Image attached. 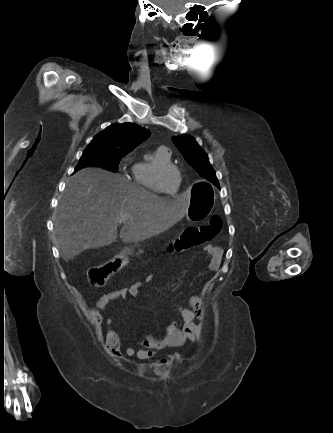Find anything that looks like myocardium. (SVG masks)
I'll return each mask as SVG.
<instances>
[{
	"label": "myocardium",
	"instance_id": "f54148a6",
	"mask_svg": "<svg viewBox=\"0 0 333 433\" xmlns=\"http://www.w3.org/2000/svg\"><path fill=\"white\" fill-rule=\"evenodd\" d=\"M168 170H173V171H175V172L177 173V175H178L179 180H180V169H179L176 165H174V164H172V163H170V164L160 165V166L156 169L155 180H156L157 185L159 186V188L161 189V191H162L164 194H166V195H168V196H175V195L178 193V191H179V184H180V181L178 182V185H177L176 191H175V192H172V193L168 192V191L164 188V186H163V176H164V174H165Z\"/></svg>",
	"mask_w": 333,
	"mask_h": 433
}]
</instances>
